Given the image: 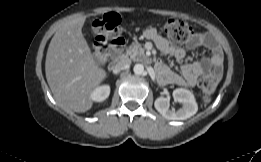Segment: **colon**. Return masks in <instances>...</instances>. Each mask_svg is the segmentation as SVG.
<instances>
[{
  "mask_svg": "<svg viewBox=\"0 0 261 162\" xmlns=\"http://www.w3.org/2000/svg\"><path fill=\"white\" fill-rule=\"evenodd\" d=\"M92 29L95 34L93 52L97 59H105L109 56L111 44L125 41L122 36L121 18L116 13H107L95 20ZM162 33L175 44H183L193 38L191 26L178 19L168 20L162 27ZM198 85L203 93L204 100L208 101L216 89L217 78L210 75L203 76Z\"/></svg>",
  "mask_w": 261,
  "mask_h": 162,
  "instance_id": "5ec220e1",
  "label": "colon"
}]
</instances>
